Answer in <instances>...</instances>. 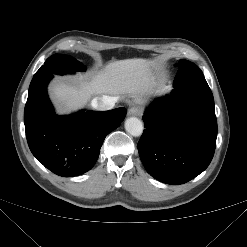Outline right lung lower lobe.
<instances>
[{
	"label": "right lung lower lobe",
	"instance_id": "1",
	"mask_svg": "<svg viewBox=\"0 0 247 247\" xmlns=\"http://www.w3.org/2000/svg\"><path fill=\"white\" fill-rule=\"evenodd\" d=\"M52 77L34 76L31 81L24 110L27 142L33 155L53 173L81 175L94 166L105 137L120 126L127 110L57 116L46 91Z\"/></svg>",
	"mask_w": 247,
	"mask_h": 247
}]
</instances>
